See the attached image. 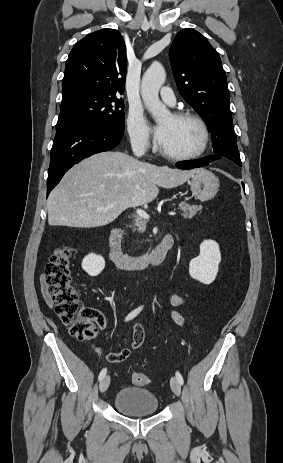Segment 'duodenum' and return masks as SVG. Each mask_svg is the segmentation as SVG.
Here are the masks:
<instances>
[{"mask_svg":"<svg viewBox=\"0 0 283 463\" xmlns=\"http://www.w3.org/2000/svg\"><path fill=\"white\" fill-rule=\"evenodd\" d=\"M121 240V231L118 228H112L109 236L110 259L119 268L133 270H141L148 265L158 266L162 264L174 244L173 235L166 234L149 255L133 256L122 251Z\"/></svg>","mask_w":283,"mask_h":463,"instance_id":"1","label":"duodenum"}]
</instances>
